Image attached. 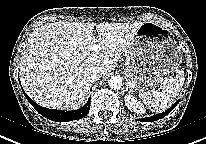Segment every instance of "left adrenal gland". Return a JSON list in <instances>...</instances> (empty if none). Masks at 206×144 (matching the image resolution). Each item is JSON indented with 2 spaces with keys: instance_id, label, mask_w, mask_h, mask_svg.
<instances>
[{
  "instance_id": "left-adrenal-gland-1",
  "label": "left adrenal gland",
  "mask_w": 206,
  "mask_h": 144,
  "mask_svg": "<svg viewBox=\"0 0 206 144\" xmlns=\"http://www.w3.org/2000/svg\"><path fill=\"white\" fill-rule=\"evenodd\" d=\"M126 90H129V86L127 85Z\"/></svg>"
}]
</instances>
